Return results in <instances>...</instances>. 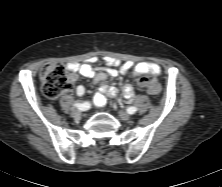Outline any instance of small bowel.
<instances>
[{
	"label": "small bowel",
	"instance_id": "small-bowel-1",
	"mask_svg": "<svg viewBox=\"0 0 222 187\" xmlns=\"http://www.w3.org/2000/svg\"><path fill=\"white\" fill-rule=\"evenodd\" d=\"M97 58L93 57L88 63L78 64L70 63L68 68L73 73V77L79 74L83 77L92 79L94 83L101 84L99 92L94 96L93 102L96 106H104L107 101V97H116L119 90L114 86H108L105 84L107 76H117L119 74L131 73L133 78H137L143 74L158 75L161 73V66L155 62L141 61L134 63L132 61L121 62L118 59L107 57L105 62L108 65L107 68L95 69L91 63H95ZM86 88L83 85H79L75 89V93L78 96L84 95ZM122 95L125 99L130 100L134 97V89L130 84H124L121 89Z\"/></svg>",
	"mask_w": 222,
	"mask_h": 187
}]
</instances>
